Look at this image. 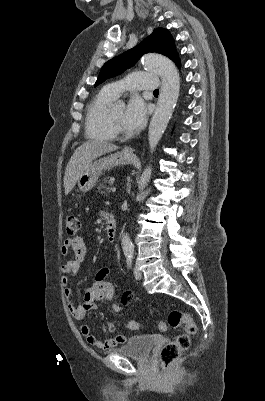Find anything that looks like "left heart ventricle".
<instances>
[{
  "label": "left heart ventricle",
  "instance_id": "b2bd125f",
  "mask_svg": "<svg viewBox=\"0 0 265 401\" xmlns=\"http://www.w3.org/2000/svg\"><path fill=\"white\" fill-rule=\"evenodd\" d=\"M112 113H113V118H114V121L116 122V124L121 128L123 133L126 132L128 127L125 124L124 107L113 108Z\"/></svg>",
  "mask_w": 265,
  "mask_h": 401
}]
</instances>
